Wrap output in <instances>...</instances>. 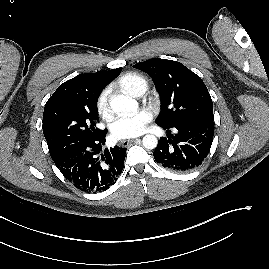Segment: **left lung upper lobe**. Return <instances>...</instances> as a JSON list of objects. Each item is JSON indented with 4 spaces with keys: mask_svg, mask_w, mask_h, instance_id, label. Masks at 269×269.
Instances as JSON below:
<instances>
[{
    "mask_svg": "<svg viewBox=\"0 0 269 269\" xmlns=\"http://www.w3.org/2000/svg\"><path fill=\"white\" fill-rule=\"evenodd\" d=\"M133 67L152 77L161 96L159 125L172 128L186 121H214L213 102L207 87L183 64L154 58Z\"/></svg>",
    "mask_w": 269,
    "mask_h": 269,
    "instance_id": "5c2ea615",
    "label": "left lung upper lobe"
}]
</instances>
